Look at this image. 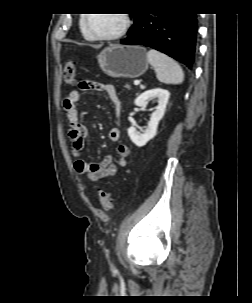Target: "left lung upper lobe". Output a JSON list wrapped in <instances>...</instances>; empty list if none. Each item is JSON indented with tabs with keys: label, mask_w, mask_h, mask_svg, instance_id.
Listing matches in <instances>:
<instances>
[{
	"label": "left lung upper lobe",
	"mask_w": 252,
	"mask_h": 303,
	"mask_svg": "<svg viewBox=\"0 0 252 303\" xmlns=\"http://www.w3.org/2000/svg\"><path fill=\"white\" fill-rule=\"evenodd\" d=\"M139 15H140V14H131L130 17H132V18L134 19V25H135V23H136V21H137ZM134 25H133V26H134ZM133 26H132V27L130 28V30L128 31L129 34L131 33Z\"/></svg>",
	"instance_id": "obj_1"
}]
</instances>
